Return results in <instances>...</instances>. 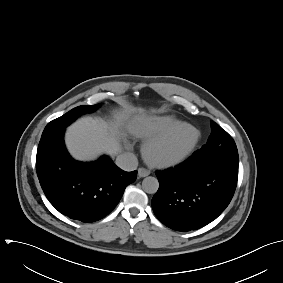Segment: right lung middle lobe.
I'll return each mask as SVG.
<instances>
[{
  "mask_svg": "<svg viewBox=\"0 0 283 283\" xmlns=\"http://www.w3.org/2000/svg\"><path fill=\"white\" fill-rule=\"evenodd\" d=\"M98 107H99V104H96L94 106L82 105V106H78V107L70 110L69 112H67L63 116L49 122L47 124V126L45 127L42 136H45V135H47V134H49L53 131L67 127L79 115L84 114V113L94 112L95 110H97Z\"/></svg>",
  "mask_w": 283,
  "mask_h": 283,
  "instance_id": "right-lung-middle-lobe-1",
  "label": "right lung middle lobe"
}]
</instances>
